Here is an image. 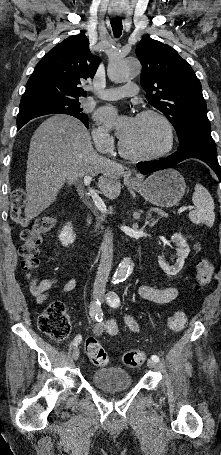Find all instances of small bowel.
Segmentation results:
<instances>
[{
  "label": "small bowel",
  "instance_id": "1",
  "mask_svg": "<svg viewBox=\"0 0 221 455\" xmlns=\"http://www.w3.org/2000/svg\"><path fill=\"white\" fill-rule=\"evenodd\" d=\"M58 282V278H47L40 282L34 280L30 284V292L36 298L38 305L45 303L52 294H63L70 292L74 290L77 285V281L74 278H70L62 287L57 290H53ZM139 294L148 301L157 304H165L175 299L178 292L174 287L157 288L149 285H142L139 288ZM124 321L131 332L135 333L139 330L137 323L130 314H126L124 316ZM93 331L97 336L101 335L104 332L109 336H116L119 332V329L115 319L110 318L96 323Z\"/></svg>",
  "mask_w": 221,
  "mask_h": 455
}]
</instances>
